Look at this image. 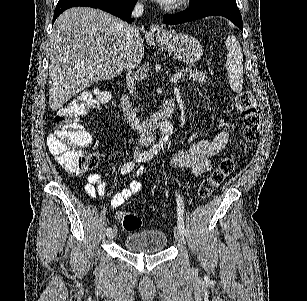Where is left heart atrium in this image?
Here are the masks:
<instances>
[{
  "instance_id": "left-heart-atrium-1",
  "label": "left heart atrium",
  "mask_w": 307,
  "mask_h": 301,
  "mask_svg": "<svg viewBox=\"0 0 307 301\" xmlns=\"http://www.w3.org/2000/svg\"><path fill=\"white\" fill-rule=\"evenodd\" d=\"M160 4H177L178 0H159ZM124 62H134V61H124Z\"/></svg>"
}]
</instances>
